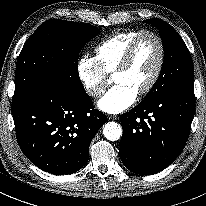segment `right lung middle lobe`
I'll use <instances>...</instances> for the list:
<instances>
[{"instance_id":"1","label":"right lung middle lobe","mask_w":206,"mask_h":206,"mask_svg":"<svg viewBox=\"0 0 206 206\" xmlns=\"http://www.w3.org/2000/svg\"><path fill=\"white\" fill-rule=\"evenodd\" d=\"M98 34V28L85 23L51 19L41 24L18 57L12 102L46 84L76 95L85 93L78 74V55Z\"/></svg>"}]
</instances>
